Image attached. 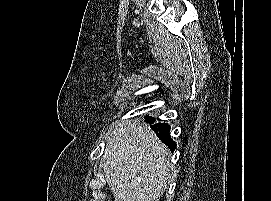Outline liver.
I'll return each instance as SVG.
<instances>
[{"label": "liver", "instance_id": "6515ba94", "mask_svg": "<svg viewBox=\"0 0 271 201\" xmlns=\"http://www.w3.org/2000/svg\"><path fill=\"white\" fill-rule=\"evenodd\" d=\"M109 134L102 163L115 201H159L172 180L165 145L137 120Z\"/></svg>", "mask_w": 271, "mask_h": 201}]
</instances>
